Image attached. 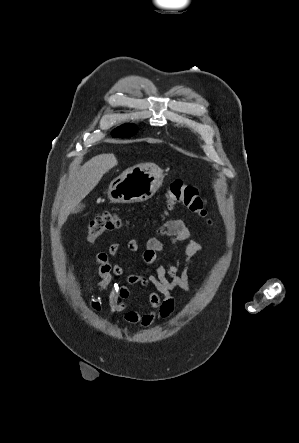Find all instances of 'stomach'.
I'll return each mask as SVG.
<instances>
[{
  "instance_id": "1",
  "label": "stomach",
  "mask_w": 299,
  "mask_h": 443,
  "mask_svg": "<svg viewBox=\"0 0 299 443\" xmlns=\"http://www.w3.org/2000/svg\"><path fill=\"white\" fill-rule=\"evenodd\" d=\"M163 180V171L155 164L136 165L110 183L108 198L114 203L144 202L157 192Z\"/></svg>"
}]
</instances>
